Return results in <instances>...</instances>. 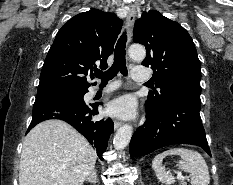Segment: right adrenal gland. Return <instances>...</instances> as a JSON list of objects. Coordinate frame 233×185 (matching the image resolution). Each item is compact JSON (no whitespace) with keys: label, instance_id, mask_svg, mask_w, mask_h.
<instances>
[{"label":"right adrenal gland","instance_id":"right-adrenal-gland-1","mask_svg":"<svg viewBox=\"0 0 233 185\" xmlns=\"http://www.w3.org/2000/svg\"><path fill=\"white\" fill-rule=\"evenodd\" d=\"M89 182L97 183L98 178H97V170H93V172L89 175V177L86 179Z\"/></svg>","mask_w":233,"mask_h":185}]
</instances>
